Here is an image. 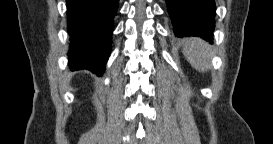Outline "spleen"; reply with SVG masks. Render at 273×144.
Masks as SVG:
<instances>
[{
	"label": "spleen",
	"instance_id": "3e777b00",
	"mask_svg": "<svg viewBox=\"0 0 273 144\" xmlns=\"http://www.w3.org/2000/svg\"><path fill=\"white\" fill-rule=\"evenodd\" d=\"M183 53L192 67L200 72L207 71L210 53L209 46L205 41L197 38L188 40L184 46Z\"/></svg>",
	"mask_w": 273,
	"mask_h": 144
}]
</instances>
